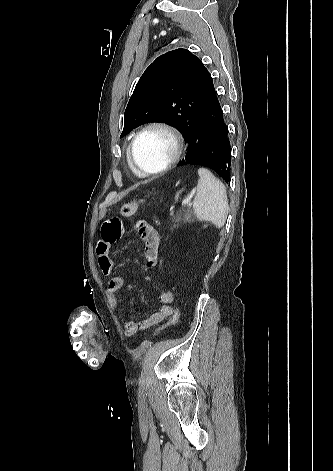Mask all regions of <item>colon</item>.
I'll return each mask as SVG.
<instances>
[{
  "instance_id": "colon-1",
  "label": "colon",
  "mask_w": 333,
  "mask_h": 471,
  "mask_svg": "<svg viewBox=\"0 0 333 471\" xmlns=\"http://www.w3.org/2000/svg\"><path fill=\"white\" fill-rule=\"evenodd\" d=\"M144 200H137V201H132L129 203L124 204L121 209L120 213L124 217H131L133 216L137 210L140 208V206L143 204ZM180 318V311L178 308H175L174 314L172 315L171 319L163 324L162 326L158 327L156 331L153 333V335L159 334L161 331L165 330L168 327L174 326L178 323Z\"/></svg>"
}]
</instances>
